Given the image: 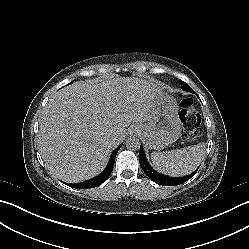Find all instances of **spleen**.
<instances>
[{"mask_svg":"<svg viewBox=\"0 0 249 249\" xmlns=\"http://www.w3.org/2000/svg\"><path fill=\"white\" fill-rule=\"evenodd\" d=\"M206 144L171 150L166 152H152L151 161L154 168L165 175L177 176L179 170H195L204 159Z\"/></svg>","mask_w":249,"mask_h":249,"instance_id":"spleen-1","label":"spleen"}]
</instances>
